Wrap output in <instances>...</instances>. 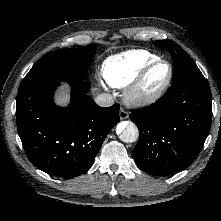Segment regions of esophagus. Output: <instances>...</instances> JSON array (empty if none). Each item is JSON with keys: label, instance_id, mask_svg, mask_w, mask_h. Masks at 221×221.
<instances>
[{"label": "esophagus", "instance_id": "esophagus-1", "mask_svg": "<svg viewBox=\"0 0 221 221\" xmlns=\"http://www.w3.org/2000/svg\"><path fill=\"white\" fill-rule=\"evenodd\" d=\"M119 117H120L121 120L128 119L129 118L128 111L121 108L120 111H119Z\"/></svg>", "mask_w": 221, "mask_h": 221}]
</instances>
